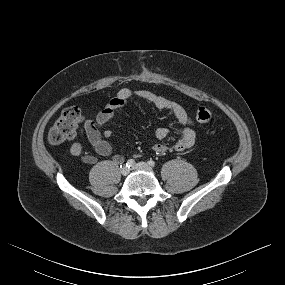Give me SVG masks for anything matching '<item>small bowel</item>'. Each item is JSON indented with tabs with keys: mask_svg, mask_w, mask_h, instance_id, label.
I'll return each mask as SVG.
<instances>
[{
	"mask_svg": "<svg viewBox=\"0 0 285 285\" xmlns=\"http://www.w3.org/2000/svg\"><path fill=\"white\" fill-rule=\"evenodd\" d=\"M133 98L145 100L153 104L157 109L171 113L181 126V134L179 139L173 145L172 150L183 152L189 150L195 143L196 134L192 127L191 118L186 109L175 101L166 97L157 95L149 90H131L123 88L119 90L114 97L106 104V106L95 116L86 119L83 127L79 130L80 136H86L95 151L101 156H110L112 148L105 139H110L113 132L110 128L104 129L103 133L100 127L106 125L115 115L118 109H121L129 103ZM170 131L167 128H158L155 131V138L163 140L168 137ZM157 154H165L170 148L162 143L153 147ZM70 152L72 155L79 157L86 164H94L97 158L91 154L83 153V145L79 140H74L70 144ZM115 163H122L123 156L115 154L113 156Z\"/></svg>",
	"mask_w": 285,
	"mask_h": 285,
	"instance_id": "c3829d8e",
	"label": "small bowel"
}]
</instances>
